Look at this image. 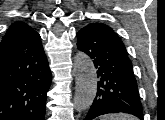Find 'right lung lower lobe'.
Here are the masks:
<instances>
[{
  "mask_svg": "<svg viewBox=\"0 0 165 120\" xmlns=\"http://www.w3.org/2000/svg\"><path fill=\"white\" fill-rule=\"evenodd\" d=\"M51 79L36 31L0 46V120H44Z\"/></svg>",
  "mask_w": 165,
  "mask_h": 120,
  "instance_id": "obj_1",
  "label": "right lung lower lobe"
}]
</instances>
